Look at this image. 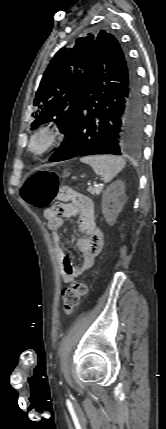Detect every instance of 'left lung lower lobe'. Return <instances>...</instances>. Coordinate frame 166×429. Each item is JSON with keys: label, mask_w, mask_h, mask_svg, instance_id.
Masks as SVG:
<instances>
[{"label": "left lung lower lobe", "mask_w": 166, "mask_h": 429, "mask_svg": "<svg viewBox=\"0 0 166 429\" xmlns=\"http://www.w3.org/2000/svg\"><path fill=\"white\" fill-rule=\"evenodd\" d=\"M143 128V100L134 66L117 39L101 32L71 125L49 161L137 154Z\"/></svg>", "instance_id": "obj_1"}]
</instances>
